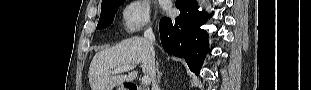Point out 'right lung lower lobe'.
<instances>
[{"label": "right lung lower lobe", "mask_w": 311, "mask_h": 90, "mask_svg": "<svg viewBox=\"0 0 311 90\" xmlns=\"http://www.w3.org/2000/svg\"><path fill=\"white\" fill-rule=\"evenodd\" d=\"M176 7L180 9L178 17L160 20L162 46L167 53L184 58L190 70L199 74L209 52L208 34L200 29L207 15L198 10L196 0H177Z\"/></svg>", "instance_id": "obj_1"}]
</instances>
